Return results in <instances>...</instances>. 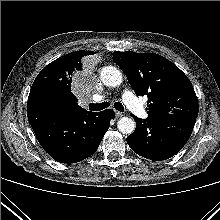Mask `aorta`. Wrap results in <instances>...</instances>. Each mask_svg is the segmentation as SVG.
Instances as JSON below:
<instances>
[{
  "mask_svg": "<svg viewBox=\"0 0 220 220\" xmlns=\"http://www.w3.org/2000/svg\"><path fill=\"white\" fill-rule=\"evenodd\" d=\"M100 79L108 87H117L122 83V73L116 67L106 66L100 72ZM117 126L121 133L131 134L135 130L136 123L132 118L122 117Z\"/></svg>",
  "mask_w": 220,
  "mask_h": 220,
  "instance_id": "1",
  "label": "aorta"
}]
</instances>
